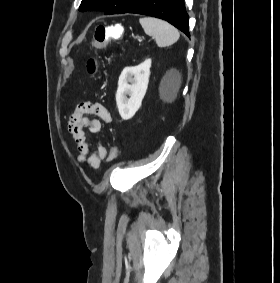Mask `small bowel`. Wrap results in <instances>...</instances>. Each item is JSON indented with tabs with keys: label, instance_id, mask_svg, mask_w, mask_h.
Instances as JSON below:
<instances>
[{
	"label": "small bowel",
	"instance_id": "obj_1",
	"mask_svg": "<svg viewBox=\"0 0 280 283\" xmlns=\"http://www.w3.org/2000/svg\"><path fill=\"white\" fill-rule=\"evenodd\" d=\"M88 115L96 118H89ZM101 121L110 123L111 115L107 108L100 102H81L70 114L67 129L74 139L77 149V161L79 163H87L92 169H98L101 162L108 159L113 147L110 151L104 146L99 145L95 152L91 151V144L87 140L86 130L90 133H98L101 129Z\"/></svg>",
	"mask_w": 280,
	"mask_h": 283
}]
</instances>
